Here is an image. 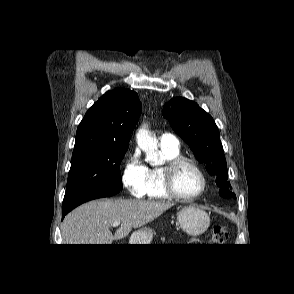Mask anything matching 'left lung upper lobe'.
<instances>
[{"label":"left lung upper lobe","mask_w":294,"mask_h":294,"mask_svg":"<svg viewBox=\"0 0 294 294\" xmlns=\"http://www.w3.org/2000/svg\"><path fill=\"white\" fill-rule=\"evenodd\" d=\"M163 116L173 130L189 145L196 158L206 165V170L216 178L219 194L236 198L227 181V164L213 118L194 101L183 97L172 98L164 105Z\"/></svg>","instance_id":"1"}]
</instances>
